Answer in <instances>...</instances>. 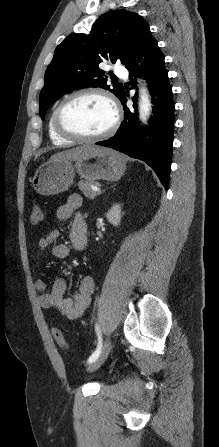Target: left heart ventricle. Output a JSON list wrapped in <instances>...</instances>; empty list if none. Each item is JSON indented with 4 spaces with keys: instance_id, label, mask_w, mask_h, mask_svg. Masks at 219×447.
<instances>
[{
    "instance_id": "obj_1",
    "label": "left heart ventricle",
    "mask_w": 219,
    "mask_h": 447,
    "mask_svg": "<svg viewBox=\"0 0 219 447\" xmlns=\"http://www.w3.org/2000/svg\"><path fill=\"white\" fill-rule=\"evenodd\" d=\"M62 121L68 129L84 134L104 132L113 121L109 103L97 95H84L74 99L64 109Z\"/></svg>"
}]
</instances>
